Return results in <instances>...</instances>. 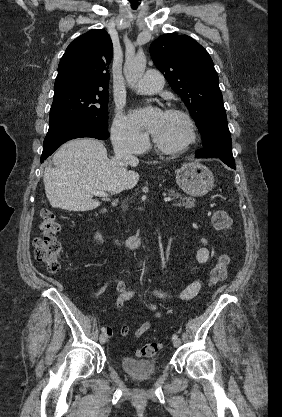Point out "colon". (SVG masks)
I'll use <instances>...</instances> for the list:
<instances>
[{
    "label": "colon",
    "instance_id": "5ec220e1",
    "mask_svg": "<svg viewBox=\"0 0 282 417\" xmlns=\"http://www.w3.org/2000/svg\"><path fill=\"white\" fill-rule=\"evenodd\" d=\"M40 217V234L35 243L36 258L39 263L44 265L48 271L57 272L61 266V248L58 244L57 235L60 231V223L54 211L50 207L41 208ZM209 219L219 233L225 234L231 226V217L226 210L217 209L209 213ZM230 259L227 256H221L210 272V284L214 285L223 281L228 272ZM158 343H147L139 348V355L151 357L159 351Z\"/></svg>",
    "mask_w": 282,
    "mask_h": 417
}]
</instances>
